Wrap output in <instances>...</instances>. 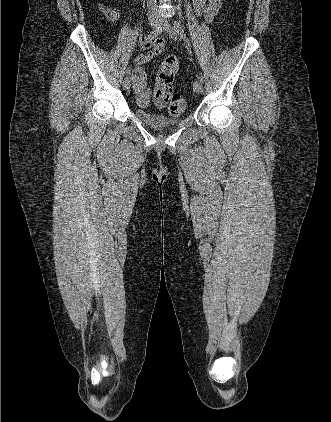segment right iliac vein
Wrapping results in <instances>:
<instances>
[{
    "label": "right iliac vein",
    "instance_id": "63e3f726",
    "mask_svg": "<svg viewBox=\"0 0 331 422\" xmlns=\"http://www.w3.org/2000/svg\"><path fill=\"white\" fill-rule=\"evenodd\" d=\"M148 21H149V25L151 26V28H154L158 25L159 23V19L157 16L155 15H149L148 17ZM131 86V78L130 77H126L123 81V88L125 90H128Z\"/></svg>",
    "mask_w": 331,
    "mask_h": 422
}]
</instances>
